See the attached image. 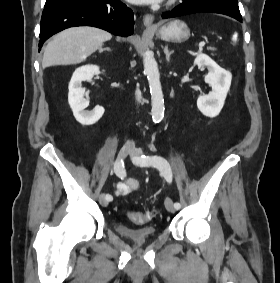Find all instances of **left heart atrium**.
<instances>
[{
  "instance_id": "39dd6f15",
  "label": "left heart atrium",
  "mask_w": 280,
  "mask_h": 283,
  "mask_svg": "<svg viewBox=\"0 0 280 283\" xmlns=\"http://www.w3.org/2000/svg\"><path fill=\"white\" fill-rule=\"evenodd\" d=\"M127 1L136 4H145V3H157L162 0H127Z\"/></svg>"
}]
</instances>
